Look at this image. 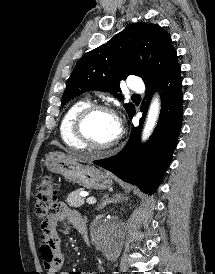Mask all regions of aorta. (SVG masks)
<instances>
[{
    "label": "aorta",
    "mask_w": 215,
    "mask_h": 274,
    "mask_svg": "<svg viewBox=\"0 0 215 274\" xmlns=\"http://www.w3.org/2000/svg\"><path fill=\"white\" fill-rule=\"evenodd\" d=\"M159 108H160L159 100L155 98L153 102L151 103V106L148 112L146 124L143 130L142 140H146L150 136L151 132L153 131V128L158 119Z\"/></svg>",
    "instance_id": "aorta-1"
}]
</instances>
